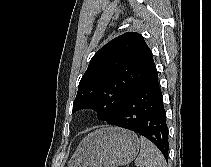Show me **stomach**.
I'll return each instance as SVG.
<instances>
[{"mask_svg": "<svg viewBox=\"0 0 211 167\" xmlns=\"http://www.w3.org/2000/svg\"><path fill=\"white\" fill-rule=\"evenodd\" d=\"M140 148L138 136L109 127L88 134L68 162V167H118L129 164Z\"/></svg>", "mask_w": 211, "mask_h": 167, "instance_id": "1", "label": "stomach"}]
</instances>
